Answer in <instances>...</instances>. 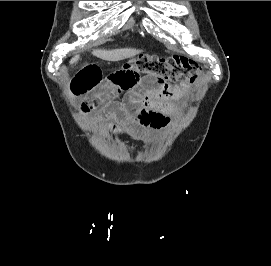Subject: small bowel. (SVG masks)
<instances>
[{"instance_id": "obj_1", "label": "small bowel", "mask_w": 271, "mask_h": 266, "mask_svg": "<svg viewBox=\"0 0 271 266\" xmlns=\"http://www.w3.org/2000/svg\"><path fill=\"white\" fill-rule=\"evenodd\" d=\"M71 94L80 99V112L94 113V124L114 134L146 139L167 126L179 112L185 88L171 86L159 77L123 67L104 76L96 64L79 70L70 82ZM124 93L121 101L116 98Z\"/></svg>"}]
</instances>
